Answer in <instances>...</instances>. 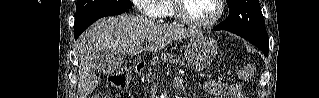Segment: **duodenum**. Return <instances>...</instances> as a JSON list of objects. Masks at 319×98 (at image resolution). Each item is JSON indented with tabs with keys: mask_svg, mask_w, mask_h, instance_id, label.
<instances>
[{
	"mask_svg": "<svg viewBox=\"0 0 319 98\" xmlns=\"http://www.w3.org/2000/svg\"><path fill=\"white\" fill-rule=\"evenodd\" d=\"M145 65L146 64L144 62L138 63L136 66V73L141 74L143 72V70L145 69Z\"/></svg>",
	"mask_w": 319,
	"mask_h": 98,
	"instance_id": "obj_1",
	"label": "duodenum"
}]
</instances>
